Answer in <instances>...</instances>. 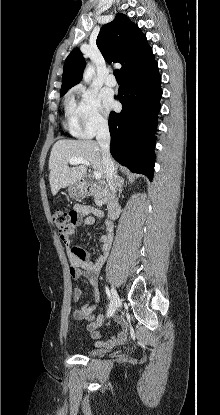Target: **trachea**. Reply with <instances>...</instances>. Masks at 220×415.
Returning <instances> with one entry per match:
<instances>
[{"mask_svg": "<svg viewBox=\"0 0 220 415\" xmlns=\"http://www.w3.org/2000/svg\"><path fill=\"white\" fill-rule=\"evenodd\" d=\"M114 75H115L116 79H121L122 78L121 72H120L119 69L114 70Z\"/></svg>", "mask_w": 220, "mask_h": 415, "instance_id": "1", "label": "trachea"}]
</instances>
